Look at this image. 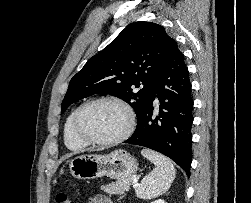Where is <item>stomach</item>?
<instances>
[{
    "instance_id": "0dacf381",
    "label": "stomach",
    "mask_w": 251,
    "mask_h": 203,
    "mask_svg": "<svg viewBox=\"0 0 251 203\" xmlns=\"http://www.w3.org/2000/svg\"><path fill=\"white\" fill-rule=\"evenodd\" d=\"M137 159L125 150L109 154L81 155L70 160L71 174L77 179H94L108 176L114 179L132 177L138 171Z\"/></svg>"
}]
</instances>
